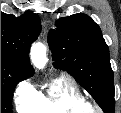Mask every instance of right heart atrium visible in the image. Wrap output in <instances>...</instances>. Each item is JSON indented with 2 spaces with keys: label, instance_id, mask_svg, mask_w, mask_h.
<instances>
[{
  "label": "right heart atrium",
  "instance_id": "right-heart-atrium-1",
  "mask_svg": "<svg viewBox=\"0 0 121 113\" xmlns=\"http://www.w3.org/2000/svg\"><path fill=\"white\" fill-rule=\"evenodd\" d=\"M30 92V89L27 85L25 84H19L18 88L16 89V97H15V101L18 104V102L26 97H28Z\"/></svg>",
  "mask_w": 121,
  "mask_h": 113
}]
</instances>
